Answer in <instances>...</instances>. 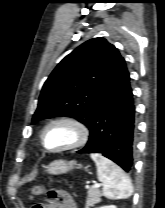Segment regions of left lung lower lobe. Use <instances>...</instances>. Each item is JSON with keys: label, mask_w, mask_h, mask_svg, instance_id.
Listing matches in <instances>:
<instances>
[{"label": "left lung lower lobe", "mask_w": 165, "mask_h": 208, "mask_svg": "<svg viewBox=\"0 0 165 208\" xmlns=\"http://www.w3.org/2000/svg\"><path fill=\"white\" fill-rule=\"evenodd\" d=\"M88 128L89 140L79 153H101L126 172L132 171L136 121L126 66L96 108Z\"/></svg>", "instance_id": "obj_1"}]
</instances>
